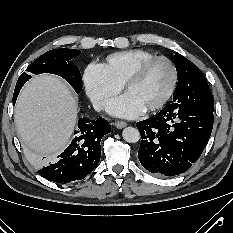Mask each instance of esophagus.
<instances>
[{
    "label": "esophagus",
    "mask_w": 233,
    "mask_h": 233,
    "mask_svg": "<svg viewBox=\"0 0 233 233\" xmlns=\"http://www.w3.org/2000/svg\"><path fill=\"white\" fill-rule=\"evenodd\" d=\"M115 126H116L118 129H122V128H124V127L127 126V123L124 122V121H117V122H115Z\"/></svg>",
    "instance_id": "esophagus-1"
}]
</instances>
